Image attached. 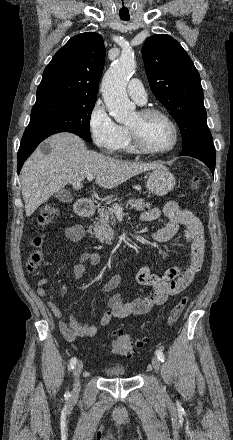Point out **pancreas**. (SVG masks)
<instances>
[{"mask_svg":"<svg viewBox=\"0 0 233 440\" xmlns=\"http://www.w3.org/2000/svg\"><path fill=\"white\" fill-rule=\"evenodd\" d=\"M127 205H130L132 209L137 211H145L146 209L151 208V204L145 202L143 199H130L127 202ZM123 206L122 203H115L108 208H99L98 213V222L94 224L93 230L94 235L101 242H111L114 238V230L110 225H113L115 220V207Z\"/></svg>","mask_w":233,"mask_h":440,"instance_id":"cf45deb5","label":"pancreas"}]
</instances>
